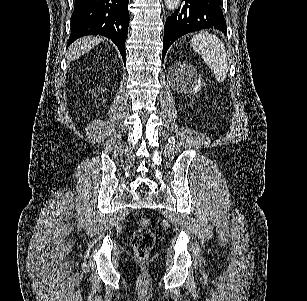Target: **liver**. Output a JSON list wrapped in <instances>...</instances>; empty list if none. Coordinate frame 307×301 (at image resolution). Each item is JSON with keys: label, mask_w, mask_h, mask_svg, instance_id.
<instances>
[{"label": "liver", "mask_w": 307, "mask_h": 301, "mask_svg": "<svg viewBox=\"0 0 307 301\" xmlns=\"http://www.w3.org/2000/svg\"><path fill=\"white\" fill-rule=\"evenodd\" d=\"M104 38L105 36H83V38H78V40L70 44L68 52H66L67 58L69 60L80 58L82 54H85L88 50H92L96 44L103 42Z\"/></svg>", "instance_id": "1"}]
</instances>
